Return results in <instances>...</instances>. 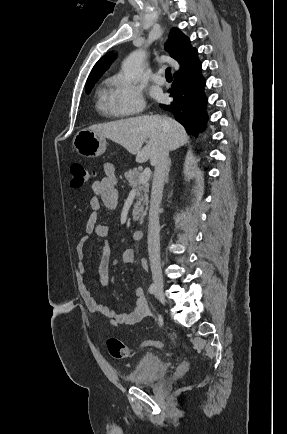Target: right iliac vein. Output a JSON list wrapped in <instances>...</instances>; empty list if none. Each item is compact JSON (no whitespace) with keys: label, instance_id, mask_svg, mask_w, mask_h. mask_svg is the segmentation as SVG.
I'll list each match as a JSON object with an SVG mask.
<instances>
[{"label":"right iliac vein","instance_id":"1","mask_svg":"<svg viewBox=\"0 0 287 434\" xmlns=\"http://www.w3.org/2000/svg\"><path fill=\"white\" fill-rule=\"evenodd\" d=\"M155 294L157 296V298L159 299V301L162 304H165V296H164V291H163V284L161 282L155 281Z\"/></svg>","mask_w":287,"mask_h":434}]
</instances>
